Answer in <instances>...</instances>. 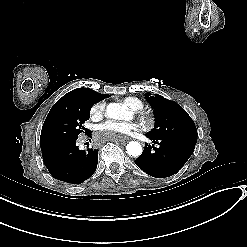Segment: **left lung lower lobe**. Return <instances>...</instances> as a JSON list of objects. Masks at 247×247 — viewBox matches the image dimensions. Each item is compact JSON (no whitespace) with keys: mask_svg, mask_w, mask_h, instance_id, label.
I'll use <instances>...</instances> for the list:
<instances>
[{"mask_svg":"<svg viewBox=\"0 0 247 247\" xmlns=\"http://www.w3.org/2000/svg\"><path fill=\"white\" fill-rule=\"evenodd\" d=\"M154 144L144 148L135 164L150 176L165 178L177 173L192 155L195 144L169 139L149 138ZM153 149V150H152Z\"/></svg>","mask_w":247,"mask_h":247,"instance_id":"left-lung-lower-lobe-1","label":"left lung lower lobe"}]
</instances>
